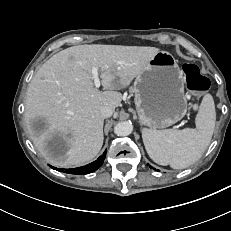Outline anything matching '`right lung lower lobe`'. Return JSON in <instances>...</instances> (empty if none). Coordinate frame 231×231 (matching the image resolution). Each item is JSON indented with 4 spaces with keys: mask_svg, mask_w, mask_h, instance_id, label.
Listing matches in <instances>:
<instances>
[{
    "mask_svg": "<svg viewBox=\"0 0 231 231\" xmlns=\"http://www.w3.org/2000/svg\"><path fill=\"white\" fill-rule=\"evenodd\" d=\"M105 156H106V150L103 153V155H101L96 161L88 165L78 167V168H72V169H64V170L57 169L55 167H52V168L60 172H65V173H70V174H77V175L89 174V173L96 171L102 165L105 159Z\"/></svg>",
    "mask_w": 231,
    "mask_h": 231,
    "instance_id": "98d812e1",
    "label": "right lung lower lobe"
}]
</instances>
